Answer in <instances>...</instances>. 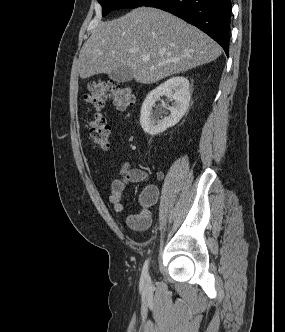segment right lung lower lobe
<instances>
[{
  "instance_id": "1",
  "label": "right lung lower lobe",
  "mask_w": 285,
  "mask_h": 332,
  "mask_svg": "<svg viewBox=\"0 0 285 332\" xmlns=\"http://www.w3.org/2000/svg\"><path fill=\"white\" fill-rule=\"evenodd\" d=\"M142 6L162 9L198 27L228 56L231 0H148Z\"/></svg>"
}]
</instances>
